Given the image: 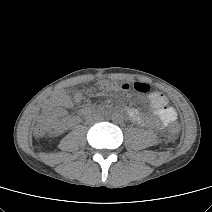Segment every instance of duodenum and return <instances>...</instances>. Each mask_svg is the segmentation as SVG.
Returning <instances> with one entry per match:
<instances>
[{
    "label": "duodenum",
    "mask_w": 212,
    "mask_h": 212,
    "mask_svg": "<svg viewBox=\"0 0 212 212\" xmlns=\"http://www.w3.org/2000/svg\"><path fill=\"white\" fill-rule=\"evenodd\" d=\"M90 112V109L89 108H85L84 110H83V114H87V113H89Z\"/></svg>",
    "instance_id": "duodenum-1"
}]
</instances>
